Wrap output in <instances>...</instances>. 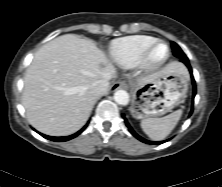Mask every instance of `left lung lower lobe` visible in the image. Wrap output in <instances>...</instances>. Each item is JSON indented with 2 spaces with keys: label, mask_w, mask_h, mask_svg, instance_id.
Masks as SVG:
<instances>
[{
  "label": "left lung lower lobe",
  "mask_w": 222,
  "mask_h": 187,
  "mask_svg": "<svg viewBox=\"0 0 222 187\" xmlns=\"http://www.w3.org/2000/svg\"><path fill=\"white\" fill-rule=\"evenodd\" d=\"M180 61L183 62V63L188 67L189 72H190V74H191L192 84H193V98H194L195 95H196V86H195V80H194L193 75H192V68H191V66H190V64H189V60H188V58H185V59H180ZM192 112H193V109L190 111V115L192 114ZM122 117H123V119H124V121H125V125L128 127L129 132H130L134 137H136L138 140H140L141 142H144V143H146V144L159 145V144H162V143L168 141V140H164V141H159V142H151V141H148V140L142 138L141 136H139V135L132 129V127L130 126V124L128 123L126 117H125L123 114H122Z\"/></svg>",
  "instance_id": "0a47b994"
}]
</instances>
